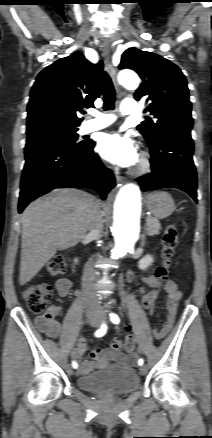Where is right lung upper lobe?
I'll list each match as a JSON object with an SVG mask.
<instances>
[{
    "instance_id": "1",
    "label": "right lung upper lobe",
    "mask_w": 212,
    "mask_h": 438,
    "mask_svg": "<svg viewBox=\"0 0 212 438\" xmlns=\"http://www.w3.org/2000/svg\"><path fill=\"white\" fill-rule=\"evenodd\" d=\"M103 63L92 64L81 52L61 58L42 70L31 89L27 130L61 125L78 127L77 112L100 96Z\"/></svg>"
}]
</instances>
